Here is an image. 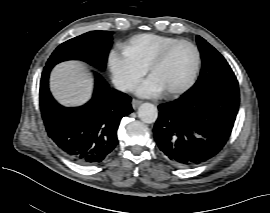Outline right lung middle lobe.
I'll return each mask as SVG.
<instances>
[{
	"mask_svg": "<svg viewBox=\"0 0 270 213\" xmlns=\"http://www.w3.org/2000/svg\"><path fill=\"white\" fill-rule=\"evenodd\" d=\"M112 45L109 31H91L70 39L56 48L46 65L66 60H82L91 66L105 69L108 52Z\"/></svg>",
	"mask_w": 270,
	"mask_h": 213,
	"instance_id": "right-lung-middle-lobe-1",
	"label": "right lung middle lobe"
}]
</instances>
